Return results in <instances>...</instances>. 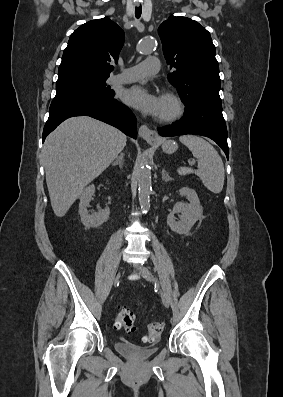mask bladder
Masks as SVG:
<instances>
[{
	"instance_id": "bladder-1",
	"label": "bladder",
	"mask_w": 283,
	"mask_h": 397,
	"mask_svg": "<svg viewBox=\"0 0 283 397\" xmlns=\"http://www.w3.org/2000/svg\"><path fill=\"white\" fill-rule=\"evenodd\" d=\"M115 349L120 354L139 360H144L157 352V347H142L128 341H118L115 343Z\"/></svg>"
}]
</instances>
